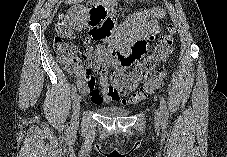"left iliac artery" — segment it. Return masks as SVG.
I'll use <instances>...</instances> for the list:
<instances>
[{
	"mask_svg": "<svg viewBox=\"0 0 227 157\" xmlns=\"http://www.w3.org/2000/svg\"><path fill=\"white\" fill-rule=\"evenodd\" d=\"M160 109H161V111H160L161 112V118L165 119L166 115L168 113V110H167L165 99L163 97H161V99H160Z\"/></svg>",
	"mask_w": 227,
	"mask_h": 157,
	"instance_id": "left-iliac-artery-1",
	"label": "left iliac artery"
}]
</instances>
